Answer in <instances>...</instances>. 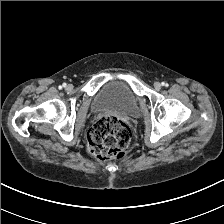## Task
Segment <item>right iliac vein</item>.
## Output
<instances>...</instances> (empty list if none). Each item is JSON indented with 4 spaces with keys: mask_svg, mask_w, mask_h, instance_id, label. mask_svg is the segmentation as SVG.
Listing matches in <instances>:
<instances>
[{
    "mask_svg": "<svg viewBox=\"0 0 224 224\" xmlns=\"http://www.w3.org/2000/svg\"><path fill=\"white\" fill-rule=\"evenodd\" d=\"M73 89V85L72 84H69L66 86V90L67 91H71Z\"/></svg>",
    "mask_w": 224,
    "mask_h": 224,
    "instance_id": "right-iliac-vein-1",
    "label": "right iliac vein"
}]
</instances>
